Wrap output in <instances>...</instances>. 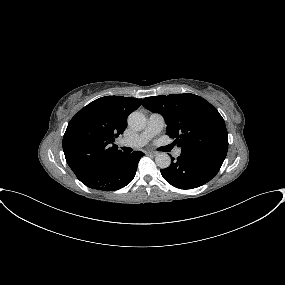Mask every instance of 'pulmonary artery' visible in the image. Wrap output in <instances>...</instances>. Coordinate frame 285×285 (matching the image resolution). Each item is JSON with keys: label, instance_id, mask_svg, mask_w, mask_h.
<instances>
[{"label": "pulmonary artery", "instance_id": "obj_1", "mask_svg": "<svg viewBox=\"0 0 285 285\" xmlns=\"http://www.w3.org/2000/svg\"><path fill=\"white\" fill-rule=\"evenodd\" d=\"M165 127V120L161 114L152 113L149 116L147 126L143 131L137 135L124 138L121 140V144L130 147H141L147 144L153 137L160 134ZM180 151L176 152V156H179Z\"/></svg>", "mask_w": 285, "mask_h": 285}]
</instances>
